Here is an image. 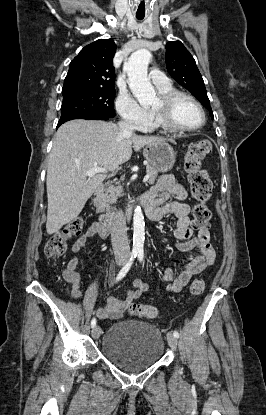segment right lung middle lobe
<instances>
[{"instance_id": "right-lung-middle-lobe-1", "label": "right lung middle lobe", "mask_w": 266, "mask_h": 415, "mask_svg": "<svg viewBox=\"0 0 266 415\" xmlns=\"http://www.w3.org/2000/svg\"><path fill=\"white\" fill-rule=\"evenodd\" d=\"M61 115H98L112 118L114 110V88H82L62 92Z\"/></svg>"}]
</instances>
